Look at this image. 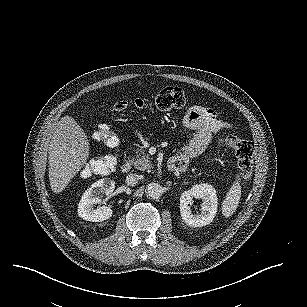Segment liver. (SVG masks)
I'll return each mask as SVG.
<instances>
[{
  "label": "liver",
  "mask_w": 307,
  "mask_h": 307,
  "mask_svg": "<svg viewBox=\"0 0 307 307\" xmlns=\"http://www.w3.org/2000/svg\"><path fill=\"white\" fill-rule=\"evenodd\" d=\"M89 150L84 130L71 116L62 117L48 148V176L54 193H61L86 164Z\"/></svg>",
  "instance_id": "6515ba94"
}]
</instances>
